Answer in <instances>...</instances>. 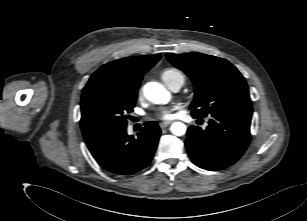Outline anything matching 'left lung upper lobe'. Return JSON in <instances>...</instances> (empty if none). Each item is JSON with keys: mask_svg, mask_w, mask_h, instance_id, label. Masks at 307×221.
<instances>
[{"mask_svg": "<svg viewBox=\"0 0 307 221\" xmlns=\"http://www.w3.org/2000/svg\"><path fill=\"white\" fill-rule=\"evenodd\" d=\"M167 59L193 82V117L220 113L252 115L245 78L229 61L201 53L166 54Z\"/></svg>", "mask_w": 307, "mask_h": 221, "instance_id": "5c2ea615", "label": "left lung upper lobe"}]
</instances>
